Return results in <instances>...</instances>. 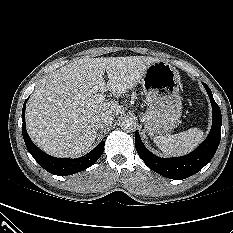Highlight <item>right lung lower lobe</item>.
Returning <instances> with one entry per match:
<instances>
[{
    "instance_id": "1",
    "label": "right lung lower lobe",
    "mask_w": 233,
    "mask_h": 233,
    "mask_svg": "<svg viewBox=\"0 0 233 233\" xmlns=\"http://www.w3.org/2000/svg\"><path fill=\"white\" fill-rule=\"evenodd\" d=\"M27 100L28 99H26L22 110L23 138L28 151L42 168L51 174L66 176L87 169L100 158L104 151L105 141L99 143L90 153L76 159L56 158L41 151L36 145H34L26 131L25 107Z\"/></svg>"
}]
</instances>
